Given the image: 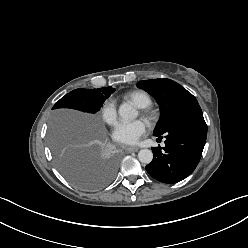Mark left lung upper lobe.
<instances>
[{
	"instance_id": "left-lung-upper-lobe-1",
	"label": "left lung upper lobe",
	"mask_w": 248,
	"mask_h": 248,
	"mask_svg": "<svg viewBox=\"0 0 248 248\" xmlns=\"http://www.w3.org/2000/svg\"><path fill=\"white\" fill-rule=\"evenodd\" d=\"M137 86L151 94L160 105L161 115L154 135L163 134L181 116L200 108L196 98L173 80H144Z\"/></svg>"
}]
</instances>
